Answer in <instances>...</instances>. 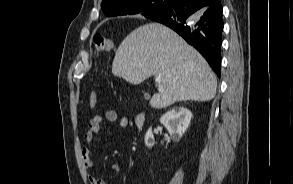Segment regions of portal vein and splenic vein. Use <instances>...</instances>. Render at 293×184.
<instances>
[{
	"label": "portal vein and splenic vein",
	"instance_id": "portal-vein-and-splenic-vein-1",
	"mask_svg": "<svg viewBox=\"0 0 293 184\" xmlns=\"http://www.w3.org/2000/svg\"><path fill=\"white\" fill-rule=\"evenodd\" d=\"M156 82L159 83L160 82V76L156 77ZM160 91H163L161 88H159Z\"/></svg>",
	"mask_w": 293,
	"mask_h": 184
}]
</instances>
